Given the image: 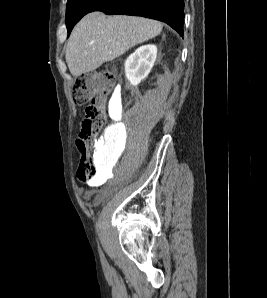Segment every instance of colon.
<instances>
[{"label": "colon", "mask_w": 267, "mask_h": 298, "mask_svg": "<svg viewBox=\"0 0 267 298\" xmlns=\"http://www.w3.org/2000/svg\"><path fill=\"white\" fill-rule=\"evenodd\" d=\"M112 87L113 74L106 71L82 74L76 79L72 89L75 104L83 105L90 102L80 123L76 140L80 156L77 175L82 181H90L97 177L96 158L89 152V144H97V136L106 122V102ZM97 152L99 154V151Z\"/></svg>", "instance_id": "colon-1"}]
</instances>
